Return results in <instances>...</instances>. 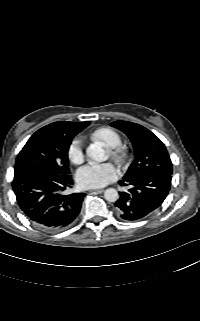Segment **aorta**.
Segmentation results:
<instances>
[{
    "mask_svg": "<svg viewBox=\"0 0 200 321\" xmlns=\"http://www.w3.org/2000/svg\"><path fill=\"white\" fill-rule=\"evenodd\" d=\"M87 156L96 162H103L107 160L108 156L106 151L98 144H91L87 148ZM104 197L109 202H116L119 199V195L116 189L108 188L104 192Z\"/></svg>",
    "mask_w": 200,
    "mask_h": 321,
    "instance_id": "1",
    "label": "aorta"
}]
</instances>
